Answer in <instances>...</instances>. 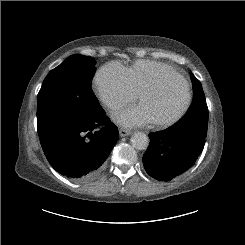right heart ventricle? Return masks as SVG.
Returning <instances> with one entry per match:
<instances>
[{"label":"right heart ventricle","mask_w":245,"mask_h":245,"mask_svg":"<svg viewBox=\"0 0 245 245\" xmlns=\"http://www.w3.org/2000/svg\"><path fill=\"white\" fill-rule=\"evenodd\" d=\"M169 69L174 68L165 63L152 60H137L126 68L129 79L138 94L153 83L160 73Z\"/></svg>","instance_id":"right-heart-ventricle-1"}]
</instances>
